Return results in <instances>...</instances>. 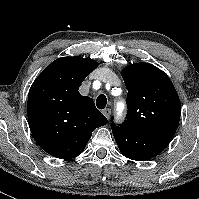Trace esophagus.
Masks as SVG:
<instances>
[{"label":"esophagus","instance_id":"34e87169","mask_svg":"<svg viewBox=\"0 0 199 199\" xmlns=\"http://www.w3.org/2000/svg\"><path fill=\"white\" fill-rule=\"evenodd\" d=\"M102 113L106 116V118L108 119L110 117L111 114V110L109 108H106L102 111Z\"/></svg>","mask_w":199,"mask_h":199}]
</instances>
